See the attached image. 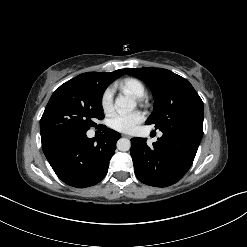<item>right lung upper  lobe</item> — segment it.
<instances>
[{"label": "right lung upper lobe", "instance_id": "1", "mask_svg": "<svg viewBox=\"0 0 247 247\" xmlns=\"http://www.w3.org/2000/svg\"><path fill=\"white\" fill-rule=\"evenodd\" d=\"M124 69L123 70H116L114 72L110 73H100V72H89V73H83L82 75L92 76L96 78L98 81L105 85H109L112 83L115 79L119 78L120 76L124 75Z\"/></svg>", "mask_w": 247, "mask_h": 247}]
</instances>
